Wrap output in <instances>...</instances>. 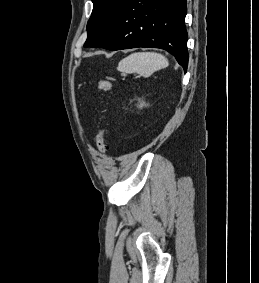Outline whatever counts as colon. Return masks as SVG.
I'll return each mask as SVG.
<instances>
[{"instance_id": "5ec220e1", "label": "colon", "mask_w": 259, "mask_h": 283, "mask_svg": "<svg viewBox=\"0 0 259 283\" xmlns=\"http://www.w3.org/2000/svg\"><path fill=\"white\" fill-rule=\"evenodd\" d=\"M97 86L100 90L109 92L112 89V83L107 79H99ZM108 133L109 130L104 128L97 137L96 145L100 152H106L108 150Z\"/></svg>"}]
</instances>
